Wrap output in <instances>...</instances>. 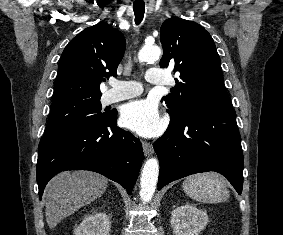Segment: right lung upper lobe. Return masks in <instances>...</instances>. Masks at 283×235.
Returning <instances> with one entry per match:
<instances>
[{
  "instance_id": "1",
  "label": "right lung upper lobe",
  "mask_w": 283,
  "mask_h": 235,
  "mask_svg": "<svg viewBox=\"0 0 283 235\" xmlns=\"http://www.w3.org/2000/svg\"><path fill=\"white\" fill-rule=\"evenodd\" d=\"M124 51L123 34L109 24L83 30L62 53L52 103L73 97H101L100 83L116 75Z\"/></svg>"
}]
</instances>
